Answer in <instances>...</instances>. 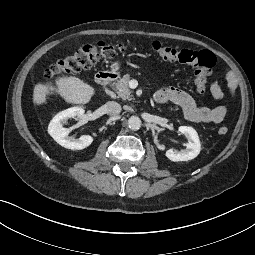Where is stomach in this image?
Returning a JSON list of instances; mask_svg holds the SVG:
<instances>
[{"instance_id": "obj_1", "label": "stomach", "mask_w": 255, "mask_h": 255, "mask_svg": "<svg viewBox=\"0 0 255 255\" xmlns=\"http://www.w3.org/2000/svg\"><path fill=\"white\" fill-rule=\"evenodd\" d=\"M120 67V64L118 62H115L114 64H112L111 68L113 71H117Z\"/></svg>"}]
</instances>
